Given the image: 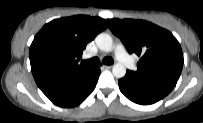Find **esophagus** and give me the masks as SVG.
I'll return each instance as SVG.
<instances>
[{
    "mask_svg": "<svg viewBox=\"0 0 203 123\" xmlns=\"http://www.w3.org/2000/svg\"><path fill=\"white\" fill-rule=\"evenodd\" d=\"M102 68H104V69H111L112 66L111 65H103Z\"/></svg>",
    "mask_w": 203,
    "mask_h": 123,
    "instance_id": "1",
    "label": "esophagus"
}]
</instances>
